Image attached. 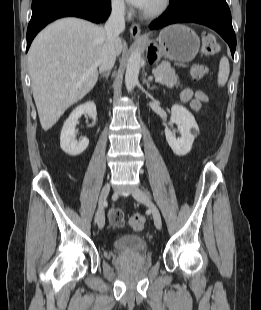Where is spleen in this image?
<instances>
[{"mask_svg":"<svg viewBox=\"0 0 261 310\" xmlns=\"http://www.w3.org/2000/svg\"><path fill=\"white\" fill-rule=\"evenodd\" d=\"M230 73V66L227 57H223L219 63V72H218V85L224 86L228 80Z\"/></svg>","mask_w":261,"mask_h":310,"instance_id":"3e777b00","label":"spleen"}]
</instances>
